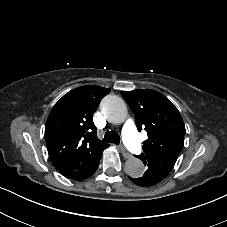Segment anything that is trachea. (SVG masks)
I'll use <instances>...</instances> for the list:
<instances>
[{
  "mask_svg": "<svg viewBox=\"0 0 227 227\" xmlns=\"http://www.w3.org/2000/svg\"><path fill=\"white\" fill-rule=\"evenodd\" d=\"M103 141L108 142V143L119 144L120 136L116 131H107L105 133Z\"/></svg>",
  "mask_w": 227,
  "mask_h": 227,
  "instance_id": "trachea-1",
  "label": "trachea"
}]
</instances>
